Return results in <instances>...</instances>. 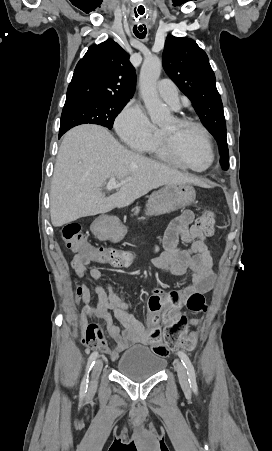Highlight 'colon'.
I'll list each match as a JSON object with an SVG mask.
<instances>
[{
	"instance_id": "5ec220e1",
	"label": "colon",
	"mask_w": 272,
	"mask_h": 451,
	"mask_svg": "<svg viewBox=\"0 0 272 451\" xmlns=\"http://www.w3.org/2000/svg\"><path fill=\"white\" fill-rule=\"evenodd\" d=\"M216 214L211 210L205 211L196 221L199 230L202 231L203 239H212L215 228ZM63 241L68 249L81 250L83 256H88L93 247L91 241H85L86 236L81 230V226L74 222L67 223L61 233ZM93 256H105L110 261L111 268H120L130 263V255L117 249H106V247H93ZM92 262L83 258H74L69 261L76 270L83 271ZM209 305L208 298L201 294H193L187 301V313H204ZM188 330V318L181 315L174 322L169 323L163 330L156 325L148 327L145 339V348H153L158 356H168L171 351L178 347H196V338H182ZM83 342L88 347L104 346L106 344L104 327L98 322H90L83 333Z\"/></svg>"
}]
</instances>
